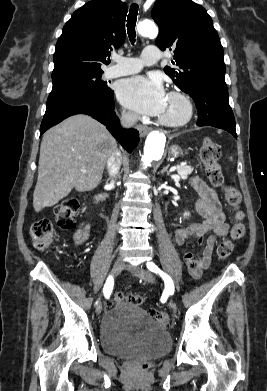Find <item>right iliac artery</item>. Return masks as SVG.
<instances>
[{
	"mask_svg": "<svg viewBox=\"0 0 267 391\" xmlns=\"http://www.w3.org/2000/svg\"><path fill=\"white\" fill-rule=\"evenodd\" d=\"M113 288V278L111 276L108 277L106 284L104 286L103 292L105 294H110Z\"/></svg>",
	"mask_w": 267,
	"mask_h": 391,
	"instance_id": "82829eb1",
	"label": "right iliac artery"
}]
</instances>
